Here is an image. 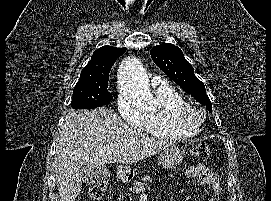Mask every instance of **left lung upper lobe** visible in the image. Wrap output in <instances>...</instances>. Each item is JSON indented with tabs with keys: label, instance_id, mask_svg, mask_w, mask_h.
<instances>
[{
	"label": "left lung upper lobe",
	"instance_id": "left-lung-upper-lobe-1",
	"mask_svg": "<svg viewBox=\"0 0 271 201\" xmlns=\"http://www.w3.org/2000/svg\"><path fill=\"white\" fill-rule=\"evenodd\" d=\"M150 54L156 65L167 76L198 102L206 105L212 113L211 101L206 94L204 83L195 76L192 65L185 59L179 47L163 43L153 47Z\"/></svg>",
	"mask_w": 271,
	"mask_h": 201
}]
</instances>
